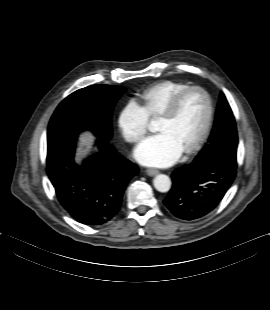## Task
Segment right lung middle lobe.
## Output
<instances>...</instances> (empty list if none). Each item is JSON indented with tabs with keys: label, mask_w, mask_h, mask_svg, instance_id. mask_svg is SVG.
<instances>
[{
	"label": "right lung middle lobe",
	"mask_w": 270,
	"mask_h": 310,
	"mask_svg": "<svg viewBox=\"0 0 270 310\" xmlns=\"http://www.w3.org/2000/svg\"><path fill=\"white\" fill-rule=\"evenodd\" d=\"M126 91L121 86L92 85L75 91L55 110L48 126L49 135L77 136L91 130L98 138L112 137V112L116 101Z\"/></svg>",
	"instance_id": "obj_1"
}]
</instances>
